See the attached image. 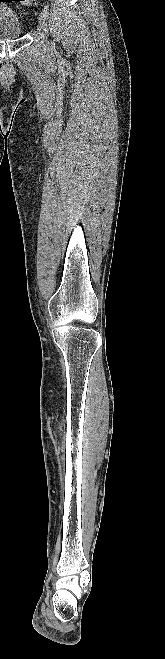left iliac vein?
Listing matches in <instances>:
<instances>
[{
  "instance_id": "obj_1",
  "label": "left iliac vein",
  "mask_w": 165,
  "mask_h": 659,
  "mask_svg": "<svg viewBox=\"0 0 165 659\" xmlns=\"http://www.w3.org/2000/svg\"><path fill=\"white\" fill-rule=\"evenodd\" d=\"M39 24H40V27L42 28V30H43L45 33H48V23H47V18H46L43 14H40V15H39Z\"/></svg>"
}]
</instances>
